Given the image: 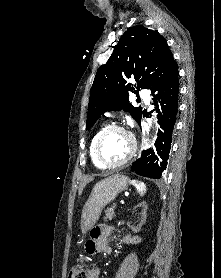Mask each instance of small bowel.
<instances>
[{
  "instance_id": "c3829d8e",
  "label": "small bowel",
  "mask_w": 221,
  "mask_h": 278,
  "mask_svg": "<svg viewBox=\"0 0 221 278\" xmlns=\"http://www.w3.org/2000/svg\"><path fill=\"white\" fill-rule=\"evenodd\" d=\"M114 238V228L112 226H98L90 233V238L86 242V251L89 254H110L112 249L108 243ZM122 239L127 244H137L139 242V238L134 235H126ZM98 276L99 270L97 267L88 269V278H98Z\"/></svg>"
}]
</instances>
